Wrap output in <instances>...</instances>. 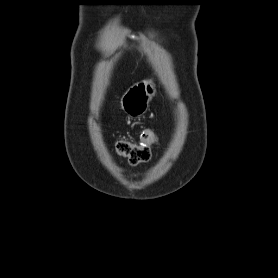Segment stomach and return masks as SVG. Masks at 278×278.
<instances>
[{"instance_id": "obj_1", "label": "stomach", "mask_w": 278, "mask_h": 278, "mask_svg": "<svg viewBox=\"0 0 278 278\" xmlns=\"http://www.w3.org/2000/svg\"><path fill=\"white\" fill-rule=\"evenodd\" d=\"M155 93V84L152 81L138 82L123 94L121 109L130 118H140L147 112Z\"/></svg>"}]
</instances>
